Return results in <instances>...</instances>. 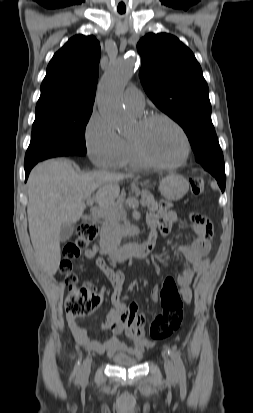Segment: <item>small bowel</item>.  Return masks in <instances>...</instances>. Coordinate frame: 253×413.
I'll return each mask as SVG.
<instances>
[{"mask_svg": "<svg viewBox=\"0 0 253 413\" xmlns=\"http://www.w3.org/2000/svg\"><path fill=\"white\" fill-rule=\"evenodd\" d=\"M189 219L194 238L188 243L179 245L177 248V253L183 256L190 264L178 277L182 298L187 303L192 298L190 285L193 279L209 265L213 235L212 224L205 216L191 213ZM147 222L152 230V235L155 236L157 231H159L162 236L166 237L170 233L172 226L179 222V217L170 208L168 203L162 202L156 213H149ZM84 254L87 259L95 260L97 267L110 281L114 289L112 297L114 307L107 312L105 321L102 324L103 329L110 331V335L103 341L90 338L87 328L77 321V317L67 314V323L74 338L81 346L99 354L113 356L115 354L127 353L141 356L144 350L154 343L145 336V316L138 314L137 304L131 303L127 306L121 301V294L125 284L124 273L120 270H114L106 264L104 255L97 245L86 249ZM150 299L154 303L158 302L159 287L157 285L152 287ZM119 334H124L128 337L132 344L127 345L121 341L118 338Z\"/></svg>", "mask_w": 253, "mask_h": 413, "instance_id": "1", "label": "small bowel"}]
</instances>
